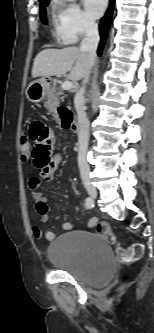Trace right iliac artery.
Wrapping results in <instances>:
<instances>
[{
	"label": "right iliac artery",
	"mask_w": 154,
	"mask_h": 333,
	"mask_svg": "<svg viewBox=\"0 0 154 333\" xmlns=\"http://www.w3.org/2000/svg\"><path fill=\"white\" fill-rule=\"evenodd\" d=\"M85 206L88 209H90V208H92L94 206V202H93V200L90 197L86 198V200H85Z\"/></svg>",
	"instance_id": "82829eb1"
}]
</instances>
